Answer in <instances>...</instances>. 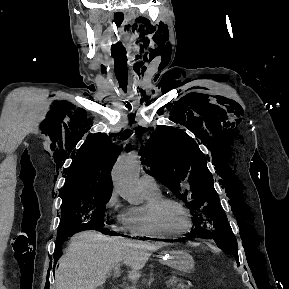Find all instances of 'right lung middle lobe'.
I'll return each instance as SVG.
<instances>
[{
	"mask_svg": "<svg viewBox=\"0 0 289 289\" xmlns=\"http://www.w3.org/2000/svg\"><path fill=\"white\" fill-rule=\"evenodd\" d=\"M111 192L75 195L63 199L61 220L57 238H68L80 230H97L109 233L103 229L105 205L111 197Z\"/></svg>",
	"mask_w": 289,
	"mask_h": 289,
	"instance_id": "right-lung-middle-lobe-1",
	"label": "right lung middle lobe"
}]
</instances>
